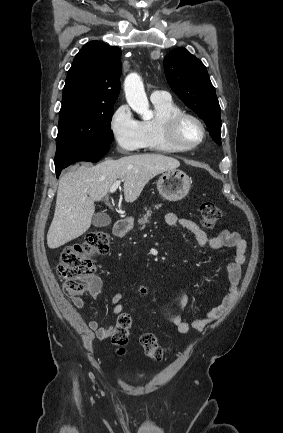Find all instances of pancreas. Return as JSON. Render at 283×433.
<instances>
[{
    "label": "pancreas",
    "mask_w": 283,
    "mask_h": 433,
    "mask_svg": "<svg viewBox=\"0 0 283 433\" xmlns=\"http://www.w3.org/2000/svg\"><path fill=\"white\" fill-rule=\"evenodd\" d=\"M155 206H157V204H155ZM145 210H146V214H143L142 219H139L138 223L139 225H147V223H150V219H151V212L152 210H147V206H145ZM143 227H141V229H143Z\"/></svg>",
    "instance_id": "obj_1"
}]
</instances>
